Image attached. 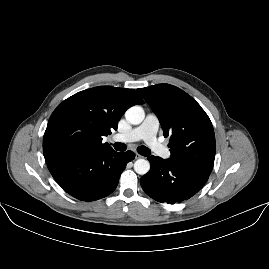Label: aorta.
Returning a JSON list of instances; mask_svg holds the SVG:
<instances>
[{"label":"aorta","mask_w":269,"mask_h":269,"mask_svg":"<svg viewBox=\"0 0 269 269\" xmlns=\"http://www.w3.org/2000/svg\"><path fill=\"white\" fill-rule=\"evenodd\" d=\"M125 118L133 125L140 124L145 118L144 109L141 106H133L125 113ZM134 170L137 174L145 175L150 170V163L145 159H138L134 163Z\"/></svg>","instance_id":"aorta-1"}]
</instances>
